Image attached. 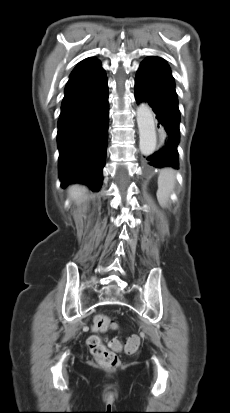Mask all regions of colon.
<instances>
[{
    "instance_id": "obj_1",
    "label": "colon",
    "mask_w": 230,
    "mask_h": 413,
    "mask_svg": "<svg viewBox=\"0 0 230 413\" xmlns=\"http://www.w3.org/2000/svg\"><path fill=\"white\" fill-rule=\"evenodd\" d=\"M115 323L114 320L106 315H97L94 319L93 328L97 332H104L109 328H114ZM140 345V338L137 334H133L129 337L127 345H126V352L133 353L135 352ZM88 347L97 360L99 364L108 368H115L119 366L120 359L118 355L110 350L99 337L92 336L88 340ZM115 347H118L115 344Z\"/></svg>"
}]
</instances>
